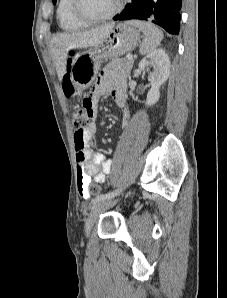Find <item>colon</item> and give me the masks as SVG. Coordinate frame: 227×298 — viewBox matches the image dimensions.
<instances>
[{
  "label": "colon",
  "mask_w": 227,
  "mask_h": 298,
  "mask_svg": "<svg viewBox=\"0 0 227 298\" xmlns=\"http://www.w3.org/2000/svg\"><path fill=\"white\" fill-rule=\"evenodd\" d=\"M64 91L67 95L71 96L74 93V87L69 77L64 78ZM83 104H92V103H82L81 106L74 108L72 113V123L75 128V149L79 159H84V150H85V139L84 131L89 126V118L95 117V115H87L84 109L82 108ZM79 178H84V173H79ZM87 193L91 195H97L100 193L101 189L96 184H89L86 187Z\"/></svg>",
  "instance_id": "1"
}]
</instances>
